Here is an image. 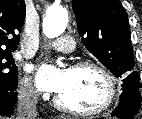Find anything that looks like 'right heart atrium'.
<instances>
[{
  "mask_svg": "<svg viewBox=\"0 0 142 119\" xmlns=\"http://www.w3.org/2000/svg\"><path fill=\"white\" fill-rule=\"evenodd\" d=\"M19 93L27 100H35L37 91L28 77H24L19 83Z\"/></svg>",
  "mask_w": 142,
  "mask_h": 119,
  "instance_id": "1",
  "label": "right heart atrium"
}]
</instances>
